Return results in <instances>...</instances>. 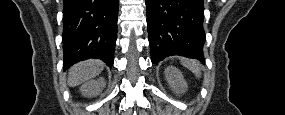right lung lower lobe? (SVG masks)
I'll return each instance as SVG.
<instances>
[{"mask_svg":"<svg viewBox=\"0 0 285 115\" xmlns=\"http://www.w3.org/2000/svg\"><path fill=\"white\" fill-rule=\"evenodd\" d=\"M119 0H64V69L88 58L114 63Z\"/></svg>","mask_w":285,"mask_h":115,"instance_id":"1","label":"right lung lower lobe"}]
</instances>
